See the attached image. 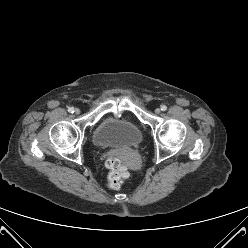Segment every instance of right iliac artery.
<instances>
[{
  "label": "right iliac artery",
  "instance_id": "1",
  "mask_svg": "<svg viewBox=\"0 0 248 248\" xmlns=\"http://www.w3.org/2000/svg\"><path fill=\"white\" fill-rule=\"evenodd\" d=\"M68 112H69V113H74V108H73V107H70V108L68 109Z\"/></svg>",
  "mask_w": 248,
  "mask_h": 248
}]
</instances>
